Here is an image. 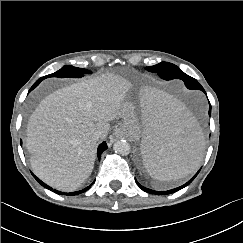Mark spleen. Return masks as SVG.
<instances>
[{
    "instance_id": "spleen-1",
    "label": "spleen",
    "mask_w": 243,
    "mask_h": 243,
    "mask_svg": "<svg viewBox=\"0 0 243 243\" xmlns=\"http://www.w3.org/2000/svg\"><path fill=\"white\" fill-rule=\"evenodd\" d=\"M140 157L158 181L188 176L199 167L205 140L196 118L172 96L154 89L141 93Z\"/></svg>"
}]
</instances>
